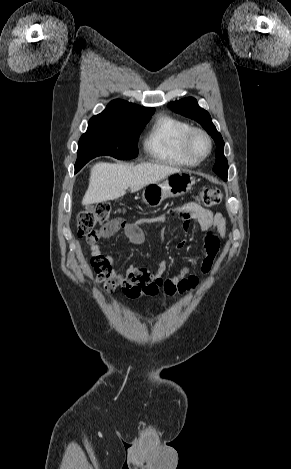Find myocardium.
Returning a JSON list of instances; mask_svg holds the SVG:
<instances>
[{
    "instance_id": "f54148a6",
    "label": "myocardium",
    "mask_w": 291,
    "mask_h": 469,
    "mask_svg": "<svg viewBox=\"0 0 291 469\" xmlns=\"http://www.w3.org/2000/svg\"><path fill=\"white\" fill-rule=\"evenodd\" d=\"M196 135H201L207 142L208 148L205 154L197 155L193 148L192 142ZM182 149L187 157L195 162H201L206 159L212 151V140L209 134L201 128L191 127L182 138Z\"/></svg>"
}]
</instances>
